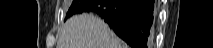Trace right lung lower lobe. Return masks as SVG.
Masks as SVG:
<instances>
[{
  "instance_id": "obj_1",
  "label": "right lung lower lobe",
  "mask_w": 213,
  "mask_h": 48,
  "mask_svg": "<svg viewBox=\"0 0 213 48\" xmlns=\"http://www.w3.org/2000/svg\"><path fill=\"white\" fill-rule=\"evenodd\" d=\"M154 0H88L82 12L103 18L133 48H147L153 22Z\"/></svg>"
}]
</instances>
